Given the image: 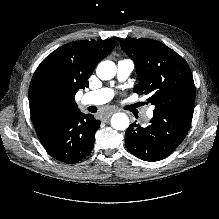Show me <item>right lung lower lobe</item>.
<instances>
[{"label": "right lung lower lobe", "instance_id": "obj_1", "mask_svg": "<svg viewBox=\"0 0 219 219\" xmlns=\"http://www.w3.org/2000/svg\"><path fill=\"white\" fill-rule=\"evenodd\" d=\"M33 123L43 146L53 158L76 163L92 151L94 134L101 122L78 109L72 113H42Z\"/></svg>", "mask_w": 219, "mask_h": 219}]
</instances>
